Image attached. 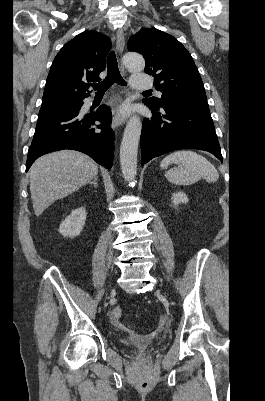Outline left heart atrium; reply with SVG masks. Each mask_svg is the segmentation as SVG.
<instances>
[{"instance_id": "left-heart-atrium-1", "label": "left heart atrium", "mask_w": 265, "mask_h": 401, "mask_svg": "<svg viewBox=\"0 0 265 401\" xmlns=\"http://www.w3.org/2000/svg\"><path fill=\"white\" fill-rule=\"evenodd\" d=\"M129 112V108L128 107H124L123 109H122V113L123 114H127Z\"/></svg>"}]
</instances>
